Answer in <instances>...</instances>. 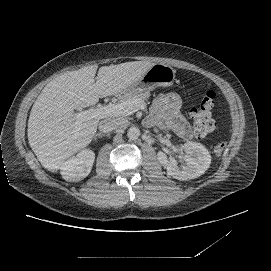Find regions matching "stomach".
<instances>
[{"label": "stomach", "mask_w": 271, "mask_h": 271, "mask_svg": "<svg viewBox=\"0 0 271 271\" xmlns=\"http://www.w3.org/2000/svg\"><path fill=\"white\" fill-rule=\"evenodd\" d=\"M175 79V71L167 64L157 63L153 64L138 80L131 83L127 89L117 95L122 97L125 94L136 92H148L158 86H166L173 83Z\"/></svg>", "instance_id": "0dacf381"}]
</instances>
